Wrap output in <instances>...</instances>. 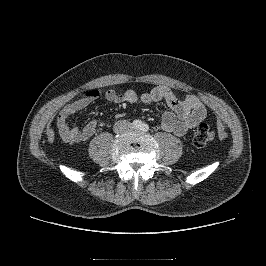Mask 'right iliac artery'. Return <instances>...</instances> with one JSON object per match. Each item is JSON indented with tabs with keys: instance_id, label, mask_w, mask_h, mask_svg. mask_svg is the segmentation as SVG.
<instances>
[{
	"instance_id": "right-iliac-artery-1",
	"label": "right iliac artery",
	"mask_w": 266,
	"mask_h": 266,
	"mask_svg": "<svg viewBox=\"0 0 266 266\" xmlns=\"http://www.w3.org/2000/svg\"><path fill=\"white\" fill-rule=\"evenodd\" d=\"M142 125V122L140 120H134L133 123H132V127L134 129H139Z\"/></svg>"
}]
</instances>
